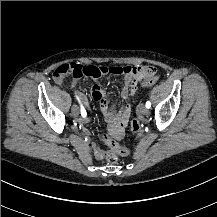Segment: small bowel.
Returning <instances> with one entry per match:
<instances>
[{
  "label": "small bowel",
  "mask_w": 217,
  "mask_h": 217,
  "mask_svg": "<svg viewBox=\"0 0 217 217\" xmlns=\"http://www.w3.org/2000/svg\"><path fill=\"white\" fill-rule=\"evenodd\" d=\"M146 77L147 75L145 74L127 75L123 81V85L121 88V93H120L121 97L123 99H127L130 95H133L137 91V83L139 81H141L142 84L146 86L145 84ZM63 82L64 80L57 81V83L59 84H62ZM72 84L73 85L76 84V80H73ZM90 94H91V98L102 106V109L106 114L107 121L110 125L109 131L113 133L114 136L113 139L114 141L117 142V140L122 137L123 132L130 120V116H131L130 104L127 103L123 105L119 113H116L113 108L108 107L106 93L100 85L98 84L92 85L90 88ZM86 119L88 120L89 116H87ZM83 121H84L83 118H78L79 124H82ZM102 139L104 141L103 137ZM91 149L96 159L100 160L104 158V153L106 151L102 149L99 142L97 141L92 142Z\"/></svg>",
  "instance_id": "1"
}]
</instances>
